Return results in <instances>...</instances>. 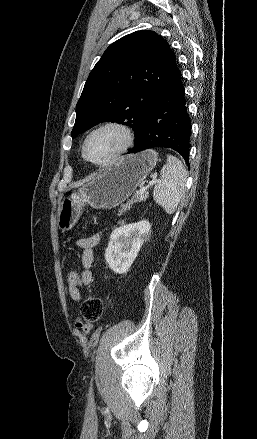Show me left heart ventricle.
<instances>
[{
    "mask_svg": "<svg viewBox=\"0 0 257 439\" xmlns=\"http://www.w3.org/2000/svg\"><path fill=\"white\" fill-rule=\"evenodd\" d=\"M122 145L120 134L112 129L96 133L87 145V156L96 162L104 161Z\"/></svg>",
    "mask_w": 257,
    "mask_h": 439,
    "instance_id": "obj_1",
    "label": "left heart ventricle"
}]
</instances>
